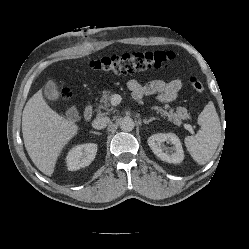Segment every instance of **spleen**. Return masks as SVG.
<instances>
[{
	"label": "spleen",
	"instance_id": "spleen-1",
	"mask_svg": "<svg viewBox=\"0 0 249 249\" xmlns=\"http://www.w3.org/2000/svg\"><path fill=\"white\" fill-rule=\"evenodd\" d=\"M200 129L195 136H187L185 145L192 158L201 165L214 155L221 138V125L213 102H209L198 116Z\"/></svg>",
	"mask_w": 249,
	"mask_h": 249
}]
</instances>
